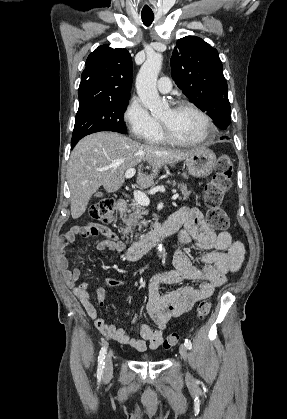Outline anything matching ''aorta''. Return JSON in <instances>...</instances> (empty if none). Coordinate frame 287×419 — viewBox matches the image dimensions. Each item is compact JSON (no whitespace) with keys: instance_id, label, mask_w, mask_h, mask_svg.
Masks as SVG:
<instances>
[{"instance_id":"762f6f07","label":"aorta","mask_w":287,"mask_h":419,"mask_svg":"<svg viewBox=\"0 0 287 419\" xmlns=\"http://www.w3.org/2000/svg\"><path fill=\"white\" fill-rule=\"evenodd\" d=\"M162 61L163 57L160 53L150 54L140 68L136 78L137 94L153 116L162 114L164 110V103L161 101L156 86ZM158 250L162 253V244L158 245Z\"/></svg>"}]
</instances>
